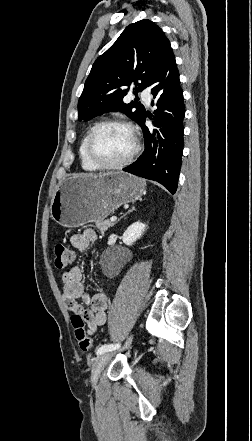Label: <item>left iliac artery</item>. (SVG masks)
I'll use <instances>...</instances> for the list:
<instances>
[{"label": "left iliac artery", "instance_id": "left-iliac-artery-1", "mask_svg": "<svg viewBox=\"0 0 252 441\" xmlns=\"http://www.w3.org/2000/svg\"><path fill=\"white\" fill-rule=\"evenodd\" d=\"M119 347H120L119 343L118 344H105V345H102L101 347H99L97 349L96 354L100 355V354H103V353L108 352V351L116 350Z\"/></svg>", "mask_w": 252, "mask_h": 441}]
</instances>
